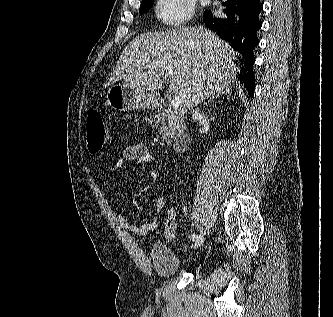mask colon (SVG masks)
<instances>
[{"label":"colon","mask_w":333,"mask_h":317,"mask_svg":"<svg viewBox=\"0 0 333 317\" xmlns=\"http://www.w3.org/2000/svg\"><path fill=\"white\" fill-rule=\"evenodd\" d=\"M108 138L107 128L100 112L96 109L88 111L87 118V148L91 154L98 153ZM164 236L168 242L173 241L177 224L176 209L169 205L164 210Z\"/></svg>","instance_id":"colon-1"}]
</instances>
